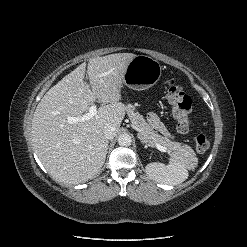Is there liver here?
Returning a JSON list of instances; mask_svg holds the SVG:
<instances>
[{
  "instance_id": "liver-1",
  "label": "liver",
  "mask_w": 247,
  "mask_h": 247,
  "mask_svg": "<svg viewBox=\"0 0 247 247\" xmlns=\"http://www.w3.org/2000/svg\"><path fill=\"white\" fill-rule=\"evenodd\" d=\"M136 55L116 53L91 59L87 65L90 85L84 81L86 64L79 65L43 96L32 119V142L48 173L64 183L78 184L93 178L103 166L108 140L103 129L119 130L126 106L121 102L125 71ZM98 108L89 120L71 122Z\"/></svg>"
}]
</instances>
